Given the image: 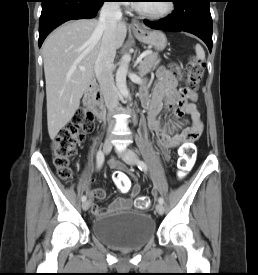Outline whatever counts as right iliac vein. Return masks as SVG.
<instances>
[{"instance_id":"obj_1","label":"right iliac vein","mask_w":258,"mask_h":275,"mask_svg":"<svg viewBox=\"0 0 258 275\" xmlns=\"http://www.w3.org/2000/svg\"><path fill=\"white\" fill-rule=\"evenodd\" d=\"M111 148H112L111 142H110L109 140H106V141L103 143V151H104V153H105V154H109L110 151H111ZM89 207H90V201H89V200H88V201H84V202L82 203V209H83L84 211L88 210Z\"/></svg>"}]
</instances>
